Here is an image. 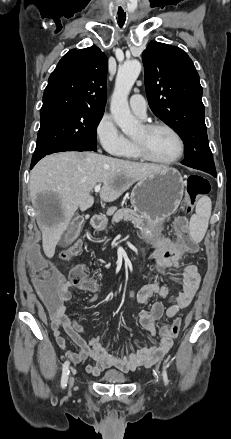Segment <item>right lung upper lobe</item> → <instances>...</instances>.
I'll use <instances>...</instances> for the list:
<instances>
[{"label":"right lung upper lobe","mask_w":231,"mask_h":439,"mask_svg":"<svg viewBox=\"0 0 231 439\" xmlns=\"http://www.w3.org/2000/svg\"><path fill=\"white\" fill-rule=\"evenodd\" d=\"M107 64L106 55L96 46L70 50L49 77L40 116L76 109L104 110Z\"/></svg>","instance_id":"obj_1"}]
</instances>
